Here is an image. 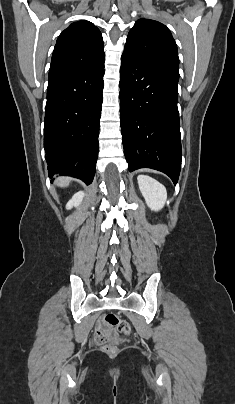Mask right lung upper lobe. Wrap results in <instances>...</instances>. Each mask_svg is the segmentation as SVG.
<instances>
[{
    "mask_svg": "<svg viewBox=\"0 0 235 404\" xmlns=\"http://www.w3.org/2000/svg\"><path fill=\"white\" fill-rule=\"evenodd\" d=\"M104 44L99 29L91 22L72 23L57 39L50 71L95 64L104 60Z\"/></svg>",
    "mask_w": 235,
    "mask_h": 404,
    "instance_id": "1",
    "label": "right lung upper lobe"
}]
</instances>
